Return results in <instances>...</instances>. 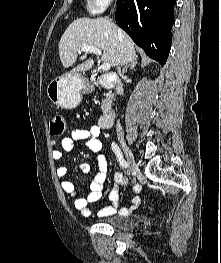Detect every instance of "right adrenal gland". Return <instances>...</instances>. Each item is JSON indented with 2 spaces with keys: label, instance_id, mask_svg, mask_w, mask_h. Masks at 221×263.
Here are the masks:
<instances>
[{
  "label": "right adrenal gland",
  "instance_id": "right-adrenal-gland-1",
  "mask_svg": "<svg viewBox=\"0 0 221 263\" xmlns=\"http://www.w3.org/2000/svg\"><path fill=\"white\" fill-rule=\"evenodd\" d=\"M137 65V61L134 60V61H131L130 63L128 64H125L123 70H122V73H126L128 71V69H135V66Z\"/></svg>",
  "mask_w": 221,
  "mask_h": 263
}]
</instances>
